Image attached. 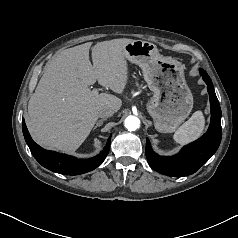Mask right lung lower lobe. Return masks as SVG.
<instances>
[{
	"instance_id": "right-lung-lower-lobe-1",
	"label": "right lung lower lobe",
	"mask_w": 238,
	"mask_h": 238,
	"mask_svg": "<svg viewBox=\"0 0 238 238\" xmlns=\"http://www.w3.org/2000/svg\"><path fill=\"white\" fill-rule=\"evenodd\" d=\"M22 129L25 141L28 144L34 158L43 167L64 175H78L94 170L104 161L110 148L111 137L108 139L105 149L97 156L89 159H77L73 156L57 153L54 151H47L36 144L32 140L27 130L24 119L22 123Z\"/></svg>"
}]
</instances>
